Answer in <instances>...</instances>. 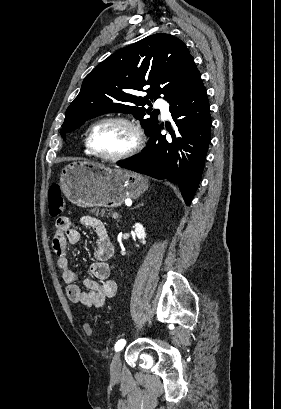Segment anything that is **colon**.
Segmentation results:
<instances>
[{
	"instance_id": "colon-1",
	"label": "colon",
	"mask_w": 281,
	"mask_h": 409,
	"mask_svg": "<svg viewBox=\"0 0 281 409\" xmlns=\"http://www.w3.org/2000/svg\"><path fill=\"white\" fill-rule=\"evenodd\" d=\"M49 195V214L52 217H58L63 211L64 208V201L62 197V191H61V186L59 184H54L49 187L48 191ZM83 328L86 329V334L87 335H92L93 334V329L90 328V323L89 322H84L83 323Z\"/></svg>"
}]
</instances>
